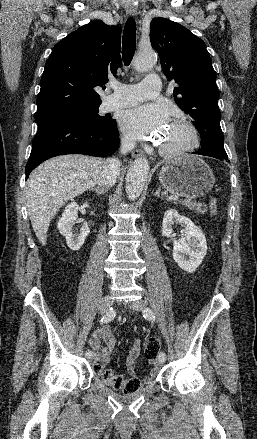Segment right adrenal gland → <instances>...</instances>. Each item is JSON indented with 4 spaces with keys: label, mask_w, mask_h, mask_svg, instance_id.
<instances>
[{
    "label": "right adrenal gland",
    "mask_w": 257,
    "mask_h": 439,
    "mask_svg": "<svg viewBox=\"0 0 257 439\" xmlns=\"http://www.w3.org/2000/svg\"><path fill=\"white\" fill-rule=\"evenodd\" d=\"M91 190H94L98 195H104L108 191L107 188L101 186L92 187Z\"/></svg>",
    "instance_id": "right-adrenal-gland-1"
}]
</instances>
